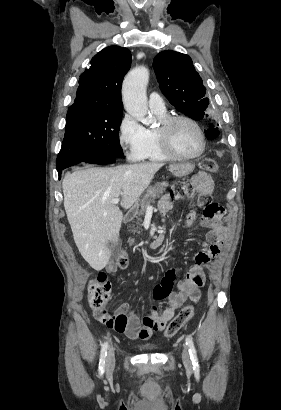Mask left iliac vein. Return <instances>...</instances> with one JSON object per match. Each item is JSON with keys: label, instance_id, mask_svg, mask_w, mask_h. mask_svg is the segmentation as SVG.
Masks as SVG:
<instances>
[{"label": "left iliac vein", "instance_id": "4c4485c4", "mask_svg": "<svg viewBox=\"0 0 281 410\" xmlns=\"http://www.w3.org/2000/svg\"><path fill=\"white\" fill-rule=\"evenodd\" d=\"M182 361L184 363V366L188 369L191 370L192 369V360L190 357V353L189 350L186 346L183 347V351H182Z\"/></svg>", "mask_w": 281, "mask_h": 410}]
</instances>
